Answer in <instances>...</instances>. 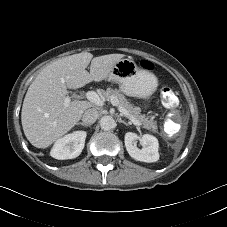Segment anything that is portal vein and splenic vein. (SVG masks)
Returning a JSON list of instances; mask_svg holds the SVG:
<instances>
[{"mask_svg":"<svg viewBox=\"0 0 227 227\" xmlns=\"http://www.w3.org/2000/svg\"><path fill=\"white\" fill-rule=\"evenodd\" d=\"M86 98L92 102L93 104L97 105V106H102L104 104L103 100L100 98V96L94 92V91H88L86 93ZM70 98L66 97L64 99V106H68V104L70 103ZM111 103L113 106H116L117 109L127 118H129L131 120V122L136 125V126H140L141 123L133 116H131L120 104L117 98L112 97L111 98Z\"/></svg>","mask_w":227,"mask_h":227,"instance_id":"portal-vein-and-splenic-vein-1","label":"portal vein and splenic vein"}]
</instances>
